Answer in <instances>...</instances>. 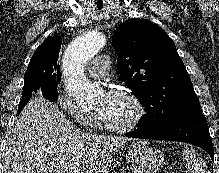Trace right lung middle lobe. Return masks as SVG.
I'll use <instances>...</instances> for the list:
<instances>
[{
	"mask_svg": "<svg viewBox=\"0 0 219 173\" xmlns=\"http://www.w3.org/2000/svg\"><path fill=\"white\" fill-rule=\"evenodd\" d=\"M61 77L53 68L29 66L24 75L22 96L41 93L49 101H57V85Z\"/></svg>",
	"mask_w": 219,
	"mask_h": 173,
	"instance_id": "dd1d6c3e",
	"label": "right lung middle lobe"
}]
</instances>
